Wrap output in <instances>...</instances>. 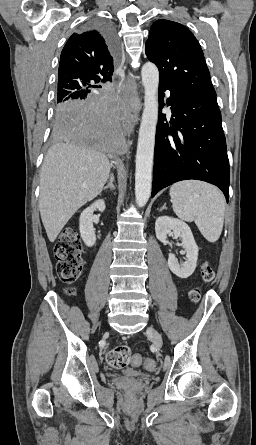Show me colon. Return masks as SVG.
I'll return each instance as SVG.
<instances>
[{"instance_id": "colon-1", "label": "colon", "mask_w": 256, "mask_h": 445, "mask_svg": "<svg viewBox=\"0 0 256 445\" xmlns=\"http://www.w3.org/2000/svg\"><path fill=\"white\" fill-rule=\"evenodd\" d=\"M82 251L83 244L78 232L73 228L64 230L54 249L57 259V271L62 281L72 283L80 276L83 268ZM214 276L213 268L208 264L203 265L201 270L202 280L210 282ZM65 292L69 296L74 295L73 288L69 287ZM189 298L192 302H198L201 298L199 289H192L189 293ZM106 361L109 366L115 369H123L129 363L140 365L142 356L140 354H132L130 347L127 345H118L107 353ZM145 366L148 370H153L155 363L152 359H148Z\"/></svg>"}]
</instances>
